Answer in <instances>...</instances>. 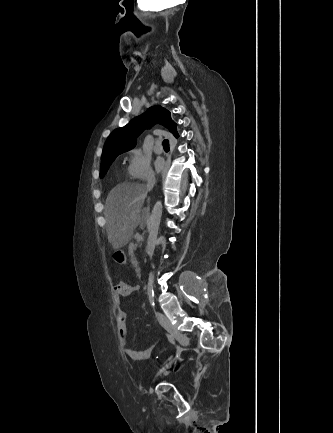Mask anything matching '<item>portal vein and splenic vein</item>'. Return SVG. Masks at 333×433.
<instances>
[{"instance_id": "1", "label": "portal vein and splenic vein", "mask_w": 333, "mask_h": 433, "mask_svg": "<svg viewBox=\"0 0 333 433\" xmlns=\"http://www.w3.org/2000/svg\"><path fill=\"white\" fill-rule=\"evenodd\" d=\"M141 240H142V236L139 235V236L137 237V241H141Z\"/></svg>"}]
</instances>
